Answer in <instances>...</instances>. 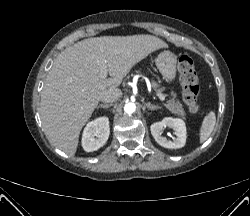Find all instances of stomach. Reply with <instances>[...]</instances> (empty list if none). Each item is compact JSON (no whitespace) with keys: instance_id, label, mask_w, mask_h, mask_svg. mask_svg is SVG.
Returning a JSON list of instances; mask_svg holds the SVG:
<instances>
[{"instance_id":"stomach-1","label":"stomach","mask_w":250,"mask_h":216,"mask_svg":"<svg viewBox=\"0 0 250 216\" xmlns=\"http://www.w3.org/2000/svg\"><path fill=\"white\" fill-rule=\"evenodd\" d=\"M155 63L163 78L167 82H173L175 80L177 72V57L175 54L170 51L161 52L157 56Z\"/></svg>"}]
</instances>
